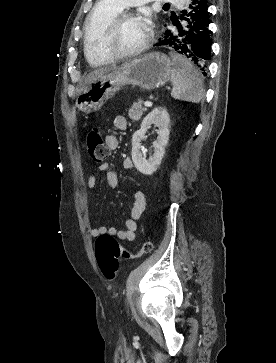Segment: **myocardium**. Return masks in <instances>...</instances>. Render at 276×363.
I'll list each match as a JSON object with an SVG mask.
<instances>
[{"mask_svg":"<svg viewBox=\"0 0 276 363\" xmlns=\"http://www.w3.org/2000/svg\"><path fill=\"white\" fill-rule=\"evenodd\" d=\"M137 16L133 10L120 11L106 26L102 44L104 51L113 59H124L128 57L138 56L142 54L150 45L152 40V32L148 31L146 39L136 48L132 50H118L113 46V40L118 33L121 24L128 18Z\"/></svg>","mask_w":276,"mask_h":363,"instance_id":"myocardium-1","label":"myocardium"}]
</instances>
